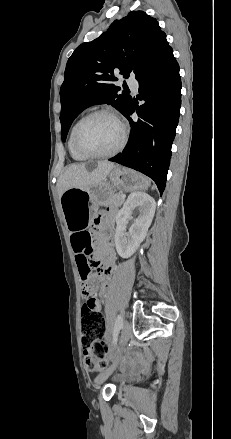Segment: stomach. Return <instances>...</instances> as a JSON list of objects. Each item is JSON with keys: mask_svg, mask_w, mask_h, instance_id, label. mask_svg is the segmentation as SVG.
<instances>
[{"mask_svg": "<svg viewBox=\"0 0 231 439\" xmlns=\"http://www.w3.org/2000/svg\"><path fill=\"white\" fill-rule=\"evenodd\" d=\"M150 184L147 177L125 167L113 168L103 181L90 188H70L60 197V204L67 227L82 230L92 220L99 205L116 190H144Z\"/></svg>", "mask_w": 231, "mask_h": 439, "instance_id": "obj_1", "label": "stomach"}]
</instances>
